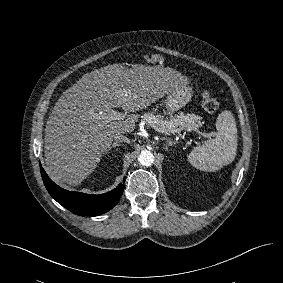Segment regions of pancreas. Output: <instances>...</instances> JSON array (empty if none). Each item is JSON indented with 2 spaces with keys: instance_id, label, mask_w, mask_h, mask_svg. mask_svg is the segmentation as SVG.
Instances as JSON below:
<instances>
[{
  "instance_id": "pancreas-1",
  "label": "pancreas",
  "mask_w": 283,
  "mask_h": 283,
  "mask_svg": "<svg viewBox=\"0 0 283 283\" xmlns=\"http://www.w3.org/2000/svg\"><path fill=\"white\" fill-rule=\"evenodd\" d=\"M142 120L156 131L166 134L183 129L196 130L200 126V117L195 114H179L165 119L156 112H148L143 114Z\"/></svg>"
}]
</instances>
